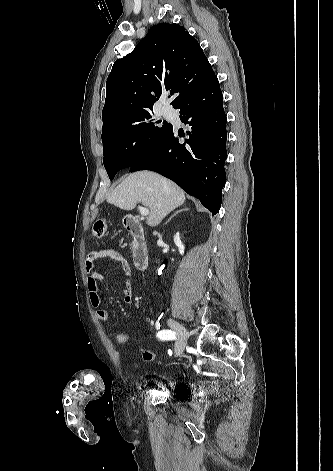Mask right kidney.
Here are the masks:
<instances>
[{"mask_svg": "<svg viewBox=\"0 0 333 471\" xmlns=\"http://www.w3.org/2000/svg\"><path fill=\"white\" fill-rule=\"evenodd\" d=\"M174 243H175V245L178 247L179 253H180L181 255H183V254H184V249H185V247H184V245L182 244V242H181V240H180V235H179V233H176V235L174 236Z\"/></svg>", "mask_w": 333, "mask_h": 471, "instance_id": "right-kidney-1", "label": "right kidney"}]
</instances>
